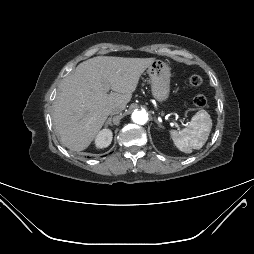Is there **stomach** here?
<instances>
[{
    "label": "stomach",
    "instance_id": "0dacf381",
    "mask_svg": "<svg viewBox=\"0 0 254 254\" xmlns=\"http://www.w3.org/2000/svg\"><path fill=\"white\" fill-rule=\"evenodd\" d=\"M147 73L151 80V93L153 97L164 102L170 93L171 72L168 65L161 60H154L148 67Z\"/></svg>",
    "mask_w": 254,
    "mask_h": 254
}]
</instances>
